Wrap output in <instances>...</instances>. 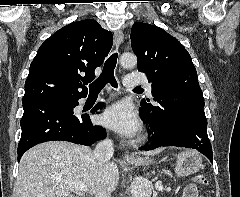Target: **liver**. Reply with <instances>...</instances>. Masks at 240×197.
I'll return each mask as SVG.
<instances>
[{"label":"liver","mask_w":240,"mask_h":197,"mask_svg":"<svg viewBox=\"0 0 240 197\" xmlns=\"http://www.w3.org/2000/svg\"><path fill=\"white\" fill-rule=\"evenodd\" d=\"M66 182L84 184L91 195L101 191L111 193L117 188L119 171L114 162L100 164L86 146L45 142L22 156L15 197H76L71 195L72 188Z\"/></svg>","instance_id":"6515ba94"}]
</instances>
